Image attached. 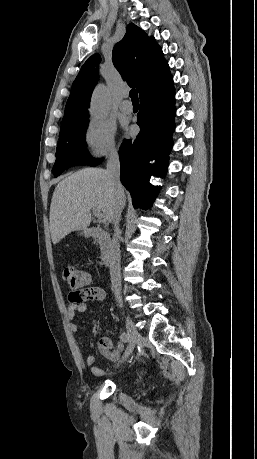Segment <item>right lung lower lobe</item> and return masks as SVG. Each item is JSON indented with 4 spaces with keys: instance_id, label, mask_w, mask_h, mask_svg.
Here are the masks:
<instances>
[{
    "instance_id": "obj_1",
    "label": "right lung lower lobe",
    "mask_w": 257,
    "mask_h": 459,
    "mask_svg": "<svg viewBox=\"0 0 257 459\" xmlns=\"http://www.w3.org/2000/svg\"><path fill=\"white\" fill-rule=\"evenodd\" d=\"M175 91L173 77L168 74L140 95L137 124L141 131L135 140L121 145V182L130 192L134 208L149 209L157 188L149 183L151 175H164L172 148ZM156 160L149 164L150 160ZM102 159L96 162L99 165ZM95 165V166H96Z\"/></svg>"
}]
</instances>
